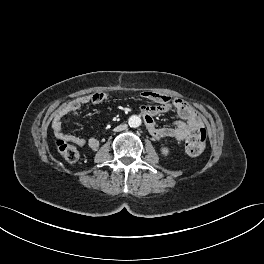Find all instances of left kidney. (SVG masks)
Listing matches in <instances>:
<instances>
[{
	"label": "left kidney",
	"mask_w": 264,
	"mask_h": 264,
	"mask_svg": "<svg viewBox=\"0 0 264 264\" xmlns=\"http://www.w3.org/2000/svg\"><path fill=\"white\" fill-rule=\"evenodd\" d=\"M169 152L170 151H169V148L168 147H165L164 146V147L161 148V154L162 155L167 156V155H169Z\"/></svg>",
	"instance_id": "obj_1"
}]
</instances>
